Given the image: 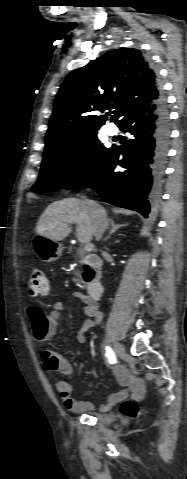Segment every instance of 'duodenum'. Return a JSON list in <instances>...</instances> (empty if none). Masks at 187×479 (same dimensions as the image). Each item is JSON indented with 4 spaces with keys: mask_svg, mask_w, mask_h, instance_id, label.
Listing matches in <instances>:
<instances>
[{
    "mask_svg": "<svg viewBox=\"0 0 187 479\" xmlns=\"http://www.w3.org/2000/svg\"><path fill=\"white\" fill-rule=\"evenodd\" d=\"M82 264L86 273L88 274L85 277L88 295L93 301H96L103 294V286L96 278V270L100 268L101 260L96 255H86L82 259Z\"/></svg>",
    "mask_w": 187,
    "mask_h": 479,
    "instance_id": "410a0bca",
    "label": "duodenum"
}]
</instances>
